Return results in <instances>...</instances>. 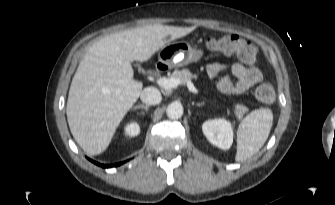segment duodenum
<instances>
[{
    "mask_svg": "<svg viewBox=\"0 0 335 205\" xmlns=\"http://www.w3.org/2000/svg\"><path fill=\"white\" fill-rule=\"evenodd\" d=\"M156 69H157L158 72H164V71L167 70V65H166L165 62L160 61V62L157 63Z\"/></svg>",
    "mask_w": 335,
    "mask_h": 205,
    "instance_id": "1",
    "label": "duodenum"
}]
</instances>
